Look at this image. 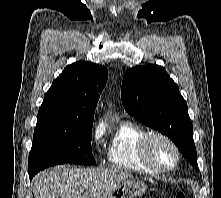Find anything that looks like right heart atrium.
I'll return each instance as SVG.
<instances>
[{
  "instance_id": "d8ad5b80",
  "label": "right heart atrium",
  "mask_w": 221,
  "mask_h": 198,
  "mask_svg": "<svg viewBox=\"0 0 221 198\" xmlns=\"http://www.w3.org/2000/svg\"><path fill=\"white\" fill-rule=\"evenodd\" d=\"M103 135H104V129L101 126L96 127L91 135L93 143L98 145L101 142Z\"/></svg>"
}]
</instances>
